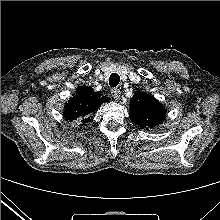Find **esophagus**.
Returning a JSON list of instances; mask_svg holds the SVG:
<instances>
[{"label": "esophagus", "mask_w": 220, "mask_h": 220, "mask_svg": "<svg viewBox=\"0 0 220 220\" xmlns=\"http://www.w3.org/2000/svg\"><path fill=\"white\" fill-rule=\"evenodd\" d=\"M120 90L117 88L111 89V95L115 100H118L120 98Z\"/></svg>", "instance_id": "1"}]
</instances>
